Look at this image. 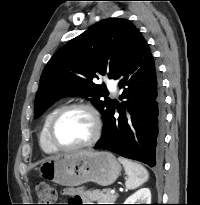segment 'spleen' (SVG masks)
<instances>
[{"instance_id": "obj_1", "label": "spleen", "mask_w": 200, "mask_h": 205, "mask_svg": "<svg viewBox=\"0 0 200 205\" xmlns=\"http://www.w3.org/2000/svg\"><path fill=\"white\" fill-rule=\"evenodd\" d=\"M118 160L123 165L127 175L125 182L127 189L132 190L138 188L148 180L149 173L143 165L123 157H119Z\"/></svg>"}]
</instances>
